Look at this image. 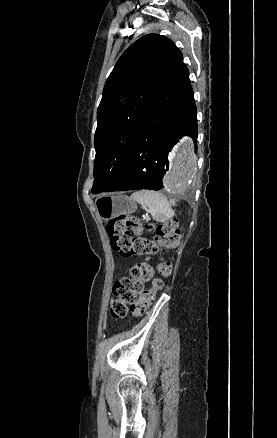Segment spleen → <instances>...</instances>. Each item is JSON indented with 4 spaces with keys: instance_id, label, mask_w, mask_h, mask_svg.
I'll list each match as a JSON object with an SVG mask.
<instances>
[{
    "instance_id": "spleen-1",
    "label": "spleen",
    "mask_w": 277,
    "mask_h": 438,
    "mask_svg": "<svg viewBox=\"0 0 277 438\" xmlns=\"http://www.w3.org/2000/svg\"><path fill=\"white\" fill-rule=\"evenodd\" d=\"M131 200H135L138 204L146 206L148 208L152 218L158 220V222H165L174 216V212L169 206V202L160 192H153V190H140V192H134L131 196Z\"/></svg>"
}]
</instances>
